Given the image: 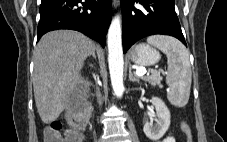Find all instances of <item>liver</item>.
<instances>
[{
    "label": "liver",
    "mask_w": 227,
    "mask_h": 142,
    "mask_svg": "<svg viewBox=\"0 0 227 142\" xmlns=\"http://www.w3.org/2000/svg\"><path fill=\"white\" fill-rule=\"evenodd\" d=\"M94 50L91 39L73 30L51 31L39 40L32 81L36 107L44 123L55 121L79 91L84 83L80 71Z\"/></svg>",
    "instance_id": "6515ba94"
}]
</instances>
